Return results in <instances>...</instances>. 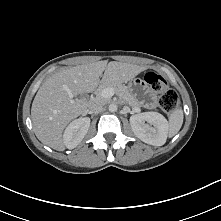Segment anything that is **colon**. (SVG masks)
<instances>
[{"instance_id": "5ec220e1", "label": "colon", "mask_w": 221, "mask_h": 221, "mask_svg": "<svg viewBox=\"0 0 221 221\" xmlns=\"http://www.w3.org/2000/svg\"><path fill=\"white\" fill-rule=\"evenodd\" d=\"M145 82L156 92L159 97L158 106L165 112H172L179 104V96L173 89L168 88L167 81L155 72L145 75Z\"/></svg>"}]
</instances>
